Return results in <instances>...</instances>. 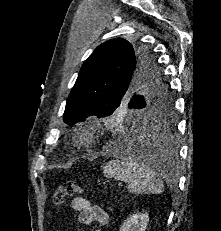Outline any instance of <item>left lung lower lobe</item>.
I'll list each match as a JSON object with an SVG mask.
<instances>
[{"label": "left lung lower lobe", "mask_w": 221, "mask_h": 231, "mask_svg": "<svg viewBox=\"0 0 221 231\" xmlns=\"http://www.w3.org/2000/svg\"><path fill=\"white\" fill-rule=\"evenodd\" d=\"M174 132V123L171 121L163 123L159 119L149 118L124 129L122 137L116 142L123 149L130 146L141 152L145 164L163 168L166 158H172L176 152Z\"/></svg>", "instance_id": "obj_1"}]
</instances>
